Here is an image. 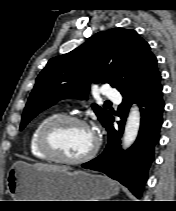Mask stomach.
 Listing matches in <instances>:
<instances>
[{"label":"stomach","instance_id":"obj_1","mask_svg":"<svg viewBox=\"0 0 176 211\" xmlns=\"http://www.w3.org/2000/svg\"><path fill=\"white\" fill-rule=\"evenodd\" d=\"M6 186L14 201H104L119 192L118 184L103 175L44 170L22 161L9 169Z\"/></svg>","mask_w":176,"mask_h":211}]
</instances>
